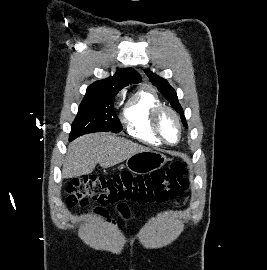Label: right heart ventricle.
Returning <instances> with one entry per match:
<instances>
[{
  "mask_svg": "<svg viewBox=\"0 0 267 270\" xmlns=\"http://www.w3.org/2000/svg\"><path fill=\"white\" fill-rule=\"evenodd\" d=\"M159 105H162L160 98L149 87L133 93L122 112V122L129 135L146 144L160 146L162 143L153 133L150 122L152 111Z\"/></svg>",
  "mask_w": 267,
  "mask_h": 270,
  "instance_id": "right-heart-ventricle-1",
  "label": "right heart ventricle"
}]
</instances>
